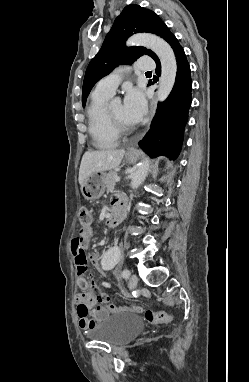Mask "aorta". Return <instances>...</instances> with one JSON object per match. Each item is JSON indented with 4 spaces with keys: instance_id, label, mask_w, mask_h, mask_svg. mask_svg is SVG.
<instances>
[{
    "instance_id": "aorta-1",
    "label": "aorta",
    "mask_w": 249,
    "mask_h": 382,
    "mask_svg": "<svg viewBox=\"0 0 249 382\" xmlns=\"http://www.w3.org/2000/svg\"><path fill=\"white\" fill-rule=\"evenodd\" d=\"M127 45H142L151 49L161 62V76L157 91L158 101H164L172 91L177 75V61L171 46L162 38L153 34H137L132 36ZM149 159H144L131 177L130 186L136 189L145 180L149 172Z\"/></svg>"
}]
</instances>
